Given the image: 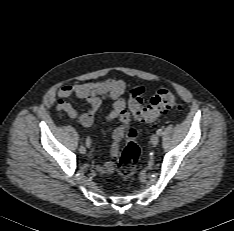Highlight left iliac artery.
<instances>
[{"label": "left iliac artery", "instance_id": "obj_1", "mask_svg": "<svg viewBox=\"0 0 234 231\" xmlns=\"http://www.w3.org/2000/svg\"><path fill=\"white\" fill-rule=\"evenodd\" d=\"M156 133H157V135H159V136H161V135L163 134V132H162L161 129H158Z\"/></svg>", "mask_w": 234, "mask_h": 231}]
</instances>
